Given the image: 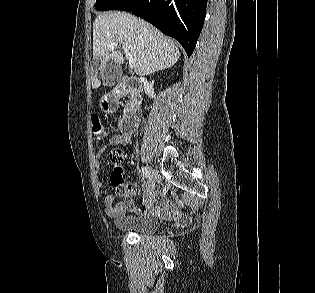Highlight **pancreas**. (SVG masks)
I'll return each instance as SVG.
<instances>
[{
  "mask_svg": "<svg viewBox=\"0 0 315 293\" xmlns=\"http://www.w3.org/2000/svg\"><path fill=\"white\" fill-rule=\"evenodd\" d=\"M129 93H130V97L126 103L125 109H128L130 106L136 105L139 102L138 94L135 90L130 89Z\"/></svg>",
  "mask_w": 315,
  "mask_h": 293,
  "instance_id": "1",
  "label": "pancreas"
}]
</instances>
